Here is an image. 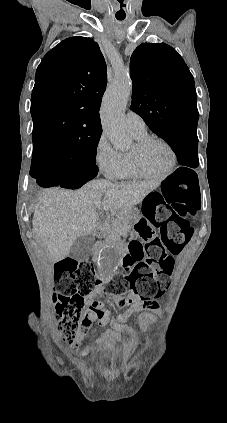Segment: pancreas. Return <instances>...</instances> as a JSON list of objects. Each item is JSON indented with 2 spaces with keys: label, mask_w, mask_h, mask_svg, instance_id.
<instances>
[{
  "label": "pancreas",
  "mask_w": 227,
  "mask_h": 423,
  "mask_svg": "<svg viewBox=\"0 0 227 423\" xmlns=\"http://www.w3.org/2000/svg\"><path fill=\"white\" fill-rule=\"evenodd\" d=\"M106 227L110 231L109 239H119L120 235H128L132 229L123 210L117 211L116 217Z\"/></svg>",
  "instance_id": "cf45deb5"
}]
</instances>
